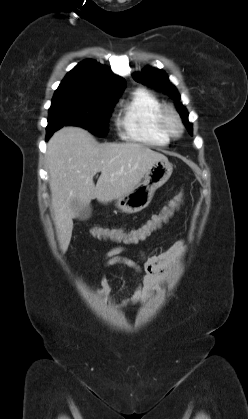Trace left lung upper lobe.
Segmentation results:
<instances>
[{
    "instance_id": "5c2ea615",
    "label": "left lung upper lobe",
    "mask_w": 248,
    "mask_h": 419,
    "mask_svg": "<svg viewBox=\"0 0 248 419\" xmlns=\"http://www.w3.org/2000/svg\"><path fill=\"white\" fill-rule=\"evenodd\" d=\"M133 78L140 83L162 90L173 97L175 104L177 105L178 112L180 113L190 135H192V124L188 121V112L180 102V95L178 94L177 89L169 81L168 76L162 70L146 68L141 73L133 74Z\"/></svg>"
}]
</instances>
